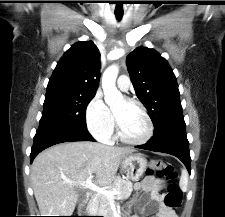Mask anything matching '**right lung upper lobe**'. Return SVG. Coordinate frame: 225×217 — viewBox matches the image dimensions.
Segmentation results:
<instances>
[{"mask_svg":"<svg viewBox=\"0 0 225 217\" xmlns=\"http://www.w3.org/2000/svg\"><path fill=\"white\" fill-rule=\"evenodd\" d=\"M100 53L89 41L77 42L57 63L47 93L95 95L99 82Z\"/></svg>","mask_w":225,"mask_h":217,"instance_id":"right-lung-upper-lobe-1","label":"right lung upper lobe"}]
</instances>
